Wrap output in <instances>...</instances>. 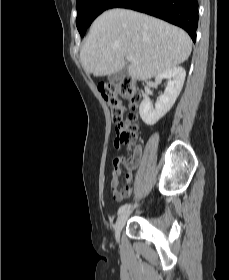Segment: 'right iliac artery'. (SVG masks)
<instances>
[{
	"label": "right iliac artery",
	"mask_w": 229,
	"mask_h": 280,
	"mask_svg": "<svg viewBox=\"0 0 229 280\" xmlns=\"http://www.w3.org/2000/svg\"><path fill=\"white\" fill-rule=\"evenodd\" d=\"M130 207V204H124L122 205L119 210H118V215H120L121 213H123L126 209H128Z\"/></svg>",
	"instance_id": "82829eb1"
}]
</instances>
